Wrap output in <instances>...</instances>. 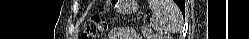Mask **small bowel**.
Returning <instances> with one entry per match:
<instances>
[{
    "label": "small bowel",
    "mask_w": 249,
    "mask_h": 39,
    "mask_svg": "<svg viewBox=\"0 0 249 39\" xmlns=\"http://www.w3.org/2000/svg\"><path fill=\"white\" fill-rule=\"evenodd\" d=\"M114 32H116L119 35L127 36L131 39H134L136 37V33L133 30L130 29H124V30H118V29H113Z\"/></svg>",
    "instance_id": "obj_1"
}]
</instances>
